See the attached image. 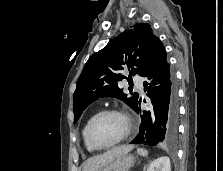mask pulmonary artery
<instances>
[{
    "instance_id": "pulmonary-artery-1",
    "label": "pulmonary artery",
    "mask_w": 223,
    "mask_h": 171,
    "mask_svg": "<svg viewBox=\"0 0 223 171\" xmlns=\"http://www.w3.org/2000/svg\"><path fill=\"white\" fill-rule=\"evenodd\" d=\"M134 83H135V86L141 91L143 92V82L140 78L136 77L134 79Z\"/></svg>"
}]
</instances>
